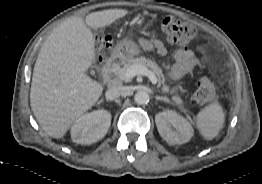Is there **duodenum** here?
Wrapping results in <instances>:
<instances>
[{"label": "duodenum", "mask_w": 262, "mask_h": 184, "mask_svg": "<svg viewBox=\"0 0 262 184\" xmlns=\"http://www.w3.org/2000/svg\"><path fill=\"white\" fill-rule=\"evenodd\" d=\"M121 62L122 58L120 56H114L103 65L102 75L105 85L111 84V75L115 71V69L119 67Z\"/></svg>", "instance_id": "410a0bca"}]
</instances>
